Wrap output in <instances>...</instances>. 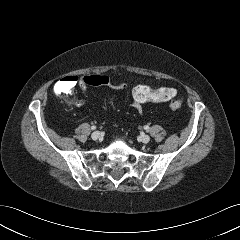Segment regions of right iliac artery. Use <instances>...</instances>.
<instances>
[{"label":"right iliac artery","instance_id":"obj_1","mask_svg":"<svg viewBox=\"0 0 240 240\" xmlns=\"http://www.w3.org/2000/svg\"><path fill=\"white\" fill-rule=\"evenodd\" d=\"M96 128H97L96 126H92V127H91L92 130H95Z\"/></svg>","mask_w":240,"mask_h":240}]
</instances>
